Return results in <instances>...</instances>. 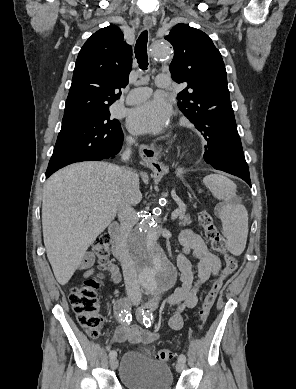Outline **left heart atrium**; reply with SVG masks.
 Listing matches in <instances>:
<instances>
[{
    "label": "left heart atrium",
    "mask_w": 296,
    "mask_h": 389,
    "mask_svg": "<svg viewBox=\"0 0 296 389\" xmlns=\"http://www.w3.org/2000/svg\"><path fill=\"white\" fill-rule=\"evenodd\" d=\"M171 114V105L163 98H155L132 108L127 125L136 134L156 133L168 125Z\"/></svg>",
    "instance_id": "obj_1"
}]
</instances>
